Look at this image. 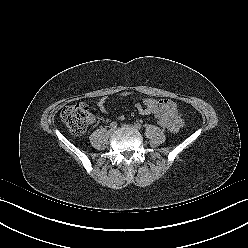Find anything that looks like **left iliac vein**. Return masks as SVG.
Wrapping results in <instances>:
<instances>
[{
  "label": "left iliac vein",
  "mask_w": 248,
  "mask_h": 248,
  "mask_svg": "<svg viewBox=\"0 0 248 248\" xmlns=\"http://www.w3.org/2000/svg\"><path fill=\"white\" fill-rule=\"evenodd\" d=\"M122 127H129V128L137 129L135 126L128 125V124H123Z\"/></svg>",
  "instance_id": "left-iliac-vein-1"
}]
</instances>
